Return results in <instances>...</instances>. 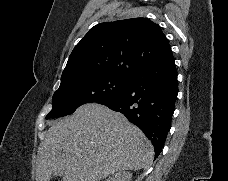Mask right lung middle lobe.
Listing matches in <instances>:
<instances>
[{
	"label": "right lung middle lobe",
	"mask_w": 228,
	"mask_h": 181,
	"mask_svg": "<svg viewBox=\"0 0 228 181\" xmlns=\"http://www.w3.org/2000/svg\"><path fill=\"white\" fill-rule=\"evenodd\" d=\"M129 80L130 77L108 74L61 85L53 95V108L46 119L72 114L85 103L112 101L125 90Z\"/></svg>",
	"instance_id": "right-lung-middle-lobe-1"
}]
</instances>
